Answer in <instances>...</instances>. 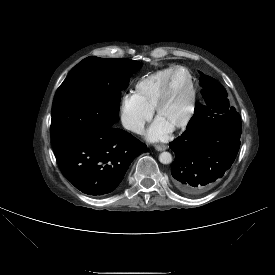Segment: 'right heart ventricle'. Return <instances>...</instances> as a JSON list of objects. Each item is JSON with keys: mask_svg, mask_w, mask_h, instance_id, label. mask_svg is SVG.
<instances>
[{"mask_svg": "<svg viewBox=\"0 0 275 275\" xmlns=\"http://www.w3.org/2000/svg\"><path fill=\"white\" fill-rule=\"evenodd\" d=\"M173 67L158 70L138 81L134 87V96L145 107L154 110L155 104Z\"/></svg>", "mask_w": 275, "mask_h": 275, "instance_id": "right-heart-ventricle-1", "label": "right heart ventricle"}]
</instances>
